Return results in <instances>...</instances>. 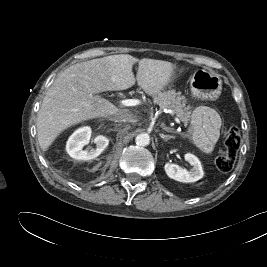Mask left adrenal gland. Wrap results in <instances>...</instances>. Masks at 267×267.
<instances>
[{
	"label": "left adrenal gland",
	"mask_w": 267,
	"mask_h": 267,
	"mask_svg": "<svg viewBox=\"0 0 267 267\" xmlns=\"http://www.w3.org/2000/svg\"><path fill=\"white\" fill-rule=\"evenodd\" d=\"M162 128L163 130L167 131V132H174L173 129L169 128V127H166L164 124H162ZM160 137L162 139H164L165 141L171 139V138H174V136L172 135H164V134H160Z\"/></svg>",
	"instance_id": "obj_1"
}]
</instances>
